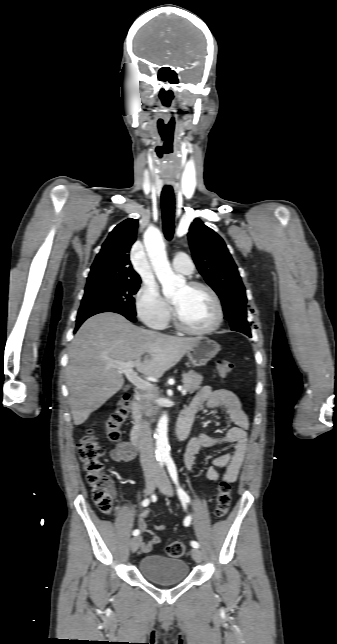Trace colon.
Wrapping results in <instances>:
<instances>
[{
	"mask_svg": "<svg viewBox=\"0 0 337 644\" xmlns=\"http://www.w3.org/2000/svg\"><path fill=\"white\" fill-rule=\"evenodd\" d=\"M217 372L220 376L226 377L233 369V363L225 358H219L216 362ZM131 403L128 395L120 398L105 420V434L109 441L117 442L121 437V427L130 411ZM78 456L83 464L86 480L92 488L93 501L98 509L108 514L113 509L112 481L104 473L102 460L104 448L98 442L92 429H88L85 435L77 444ZM231 503V485L222 480L218 484L216 494L215 515L218 518L226 516ZM186 551V545L182 541H174L167 547V553L172 558H180Z\"/></svg>",
	"mask_w": 337,
	"mask_h": 644,
	"instance_id": "5ec220e1",
	"label": "colon"
}]
</instances>
